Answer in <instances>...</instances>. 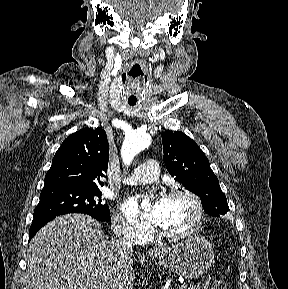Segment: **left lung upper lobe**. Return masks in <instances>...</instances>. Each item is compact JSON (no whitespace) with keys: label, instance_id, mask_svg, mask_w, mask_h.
<instances>
[{"label":"left lung upper lobe","instance_id":"5c2ea615","mask_svg":"<svg viewBox=\"0 0 288 289\" xmlns=\"http://www.w3.org/2000/svg\"><path fill=\"white\" fill-rule=\"evenodd\" d=\"M164 162L168 172L185 188L200 197L204 211L210 216L229 211L226 196L198 145L182 132L162 134Z\"/></svg>","mask_w":288,"mask_h":289}]
</instances>
